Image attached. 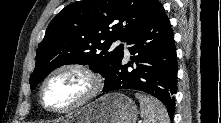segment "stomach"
I'll list each match as a JSON object with an SVG mask.
<instances>
[{"label":"stomach","mask_w":221,"mask_h":123,"mask_svg":"<svg viewBox=\"0 0 221 123\" xmlns=\"http://www.w3.org/2000/svg\"><path fill=\"white\" fill-rule=\"evenodd\" d=\"M138 113L131 98L114 92L68 114L60 123H136Z\"/></svg>","instance_id":"1"}]
</instances>
